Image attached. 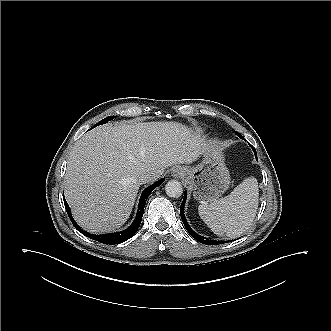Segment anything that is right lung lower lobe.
Here are the masks:
<instances>
[{"label":"right lung lower lobe","instance_id":"98d812e1","mask_svg":"<svg viewBox=\"0 0 331 331\" xmlns=\"http://www.w3.org/2000/svg\"><path fill=\"white\" fill-rule=\"evenodd\" d=\"M164 179H160L158 182L150 185L149 187H147L141 197H140V201H139V205H138V210H137V214H136V218L135 221L133 222V224L130 225L129 228H127L124 231H120V232H116V233H110V234H103V235H94V234H90L86 231H83L74 221V219L72 218L71 215V211L70 208L67 204V202H64L65 208L67 210V213L69 215V218L71 219L73 225L76 227V229L83 233L85 236L99 241L101 243L104 244H119L121 242H124L126 240H128L129 238H131L138 230L141 220H142V216L144 213V207L147 201V197L150 195V193L159 185H161L163 183Z\"/></svg>","mask_w":331,"mask_h":331}]
</instances>
